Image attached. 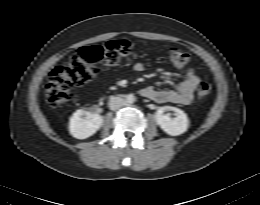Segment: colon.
I'll list each match as a JSON object with an SVG mask.
<instances>
[{"label": "colon", "instance_id": "5ec220e1", "mask_svg": "<svg viewBox=\"0 0 260 205\" xmlns=\"http://www.w3.org/2000/svg\"><path fill=\"white\" fill-rule=\"evenodd\" d=\"M133 51V45L126 40H112L80 48L69 61L51 71L45 86L48 103L57 106L71 101L74 97V90L94 79L99 72L100 65L123 64ZM168 53L176 66H182L189 60V54L179 47H171ZM210 92L211 86L208 82H198L196 87L198 98L205 99Z\"/></svg>", "mask_w": 260, "mask_h": 205}]
</instances>
